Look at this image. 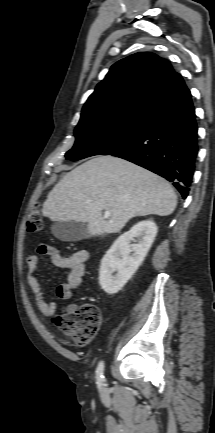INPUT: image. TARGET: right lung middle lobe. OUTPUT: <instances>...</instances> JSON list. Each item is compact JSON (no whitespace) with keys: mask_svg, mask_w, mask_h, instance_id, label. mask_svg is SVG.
<instances>
[{"mask_svg":"<svg viewBox=\"0 0 215 433\" xmlns=\"http://www.w3.org/2000/svg\"><path fill=\"white\" fill-rule=\"evenodd\" d=\"M145 115H124L107 119L79 122L76 141L65 157L77 161L94 155L109 154L129 144L143 125Z\"/></svg>","mask_w":215,"mask_h":433,"instance_id":"right-lung-middle-lobe-1","label":"right lung middle lobe"}]
</instances>
